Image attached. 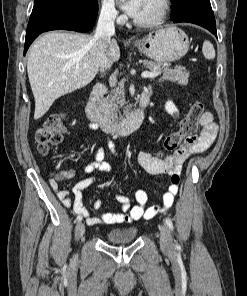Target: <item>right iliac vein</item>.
Returning <instances> with one entry per match:
<instances>
[{"mask_svg": "<svg viewBox=\"0 0 247 296\" xmlns=\"http://www.w3.org/2000/svg\"><path fill=\"white\" fill-rule=\"evenodd\" d=\"M84 233H85V225L82 222H79L76 226L75 236L78 239L82 237Z\"/></svg>", "mask_w": 247, "mask_h": 296, "instance_id": "1", "label": "right iliac vein"}]
</instances>
